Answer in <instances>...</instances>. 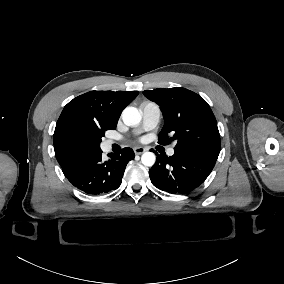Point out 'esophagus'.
I'll return each mask as SVG.
<instances>
[{
	"label": "esophagus",
	"instance_id": "obj_1",
	"mask_svg": "<svg viewBox=\"0 0 284 284\" xmlns=\"http://www.w3.org/2000/svg\"><path fill=\"white\" fill-rule=\"evenodd\" d=\"M133 151L136 155H140L143 154L146 151V149L144 147H134Z\"/></svg>",
	"mask_w": 284,
	"mask_h": 284
}]
</instances>
